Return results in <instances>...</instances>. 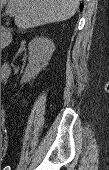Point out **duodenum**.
<instances>
[{
	"label": "duodenum",
	"mask_w": 109,
	"mask_h": 170,
	"mask_svg": "<svg viewBox=\"0 0 109 170\" xmlns=\"http://www.w3.org/2000/svg\"><path fill=\"white\" fill-rule=\"evenodd\" d=\"M11 43V37L8 32H3L1 47L5 48Z\"/></svg>",
	"instance_id": "1"
}]
</instances>
